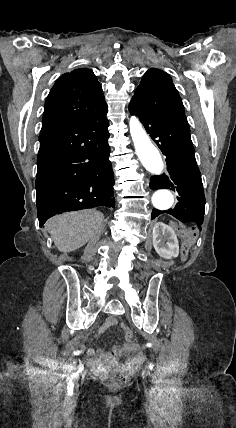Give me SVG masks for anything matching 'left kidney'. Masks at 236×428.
I'll return each instance as SVG.
<instances>
[{
	"mask_svg": "<svg viewBox=\"0 0 236 428\" xmlns=\"http://www.w3.org/2000/svg\"><path fill=\"white\" fill-rule=\"evenodd\" d=\"M153 246L157 254L166 260L177 258L179 254L177 236L174 230L163 222H157L153 228Z\"/></svg>",
	"mask_w": 236,
	"mask_h": 428,
	"instance_id": "1",
	"label": "left kidney"
}]
</instances>
